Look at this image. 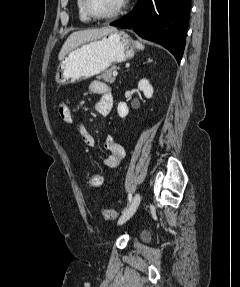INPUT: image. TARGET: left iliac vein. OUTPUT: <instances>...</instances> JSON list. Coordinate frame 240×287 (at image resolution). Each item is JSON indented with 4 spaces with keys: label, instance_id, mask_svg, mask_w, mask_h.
<instances>
[{
    "label": "left iliac vein",
    "instance_id": "obj_1",
    "mask_svg": "<svg viewBox=\"0 0 240 287\" xmlns=\"http://www.w3.org/2000/svg\"><path fill=\"white\" fill-rule=\"evenodd\" d=\"M140 201H141L140 193H136L129 207L124 211V213L120 217L118 224L125 223L127 220H129L134 215V213L136 212L140 204Z\"/></svg>",
    "mask_w": 240,
    "mask_h": 287
}]
</instances>
